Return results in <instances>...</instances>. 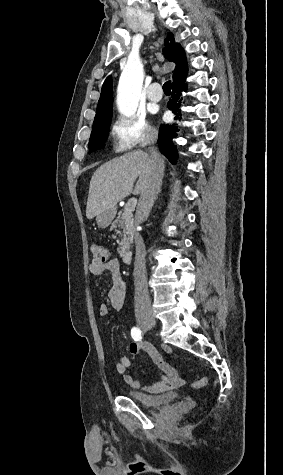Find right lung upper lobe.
I'll return each instance as SVG.
<instances>
[{
  "label": "right lung upper lobe",
  "instance_id": "right-lung-upper-lobe-1",
  "mask_svg": "<svg viewBox=\"0 0 283 475\" xmlns=\"http://www.w3.org/2000/svg\"><path fill=\"white\" fill-rule=\"evenodd\" d=\"M164 56L168 58L169 61L176 63L175 71L172 75L173 80L179 75L187 72V61L185 53L180 44L175 43L174 36L172 33L168 34V37L165 39V48L163 50ZM113 86H112V77L108 76L103 83L100 99L98 106L112 105L113 103Z\"/></svg>",
  "mask_w": 283,
  "mask_h": 475
}]
</instances>
